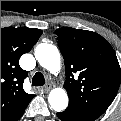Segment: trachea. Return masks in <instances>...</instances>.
Returning a JSON list of instances; mask_svg holds the SVG:
<instances>
[{
	"mask_svg": "<svg viewBox=\"0 0 121 121\" xmlns=\"http://www.w3.org/2000/svg\"><path fill=\"white\" fill-rule=\"evenodd\" d=\"M45 83L44 76L41 72L35 73V75L32 78V85L33 86H43Z\"/></svg>",
	"mask_w": 121,
	"mask_h": 121,
	"instance_id": "obj_1",
	"label": "trachea"
}]
</instances>
